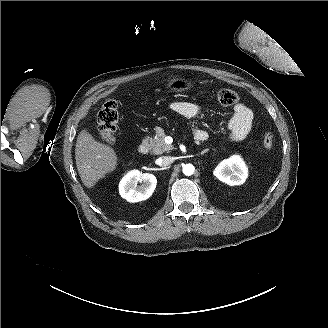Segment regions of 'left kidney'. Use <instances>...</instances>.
Masks as SVG:
<instances>
[{
  "mask_svg": "<svg viewBox=\"0 0 328 328\" xmlns=\"http://www.w3.org/2000/svg\"><path fill=\"white\" fill-rule=\"evenodd\" d=\"M214 175L228 185H241L245 182L248 172L243 160L238 156L222 161L215 169Z\"/></svg>",
  "mask_w": 328,
  "mask_h": 328,
  "instance_id": "left-kidney-1",
  "label": "left kidney"
}]
</instances>
